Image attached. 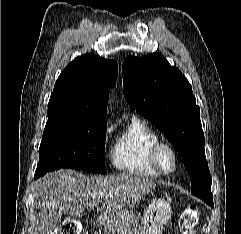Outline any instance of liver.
Wrapping results in <instances>:
<instances>
[{
	"label": "liver",
	"mask_w": 241,
	"mask_h": 234,
	"mask_svg": "<svg viewBox=\"0 0 241 234\" xmlns=\"http://www.w3.org/2000/svg\"><path fill=\"white\" fill-rule=\"evenodd\" d=\"M156 184L136 174L76 176L73 170L57 171L40 178L34 190L39 222L34 234H55L63 212L74 215L97 207L101 199L106 213L134 206Z\"/></svg>",
	"instance_id": "obj_1"
}]
</instances>
